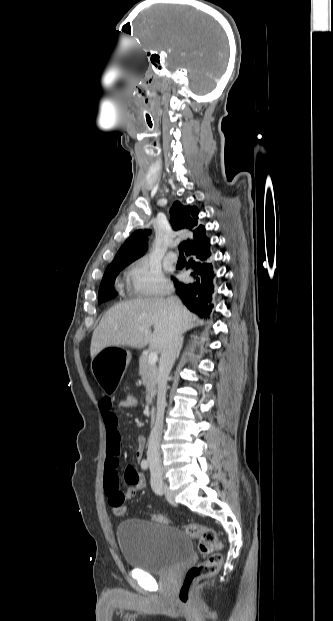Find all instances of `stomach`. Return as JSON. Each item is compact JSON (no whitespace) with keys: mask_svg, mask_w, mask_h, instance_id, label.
<instances>
[{"mask_svg":"<svg viewBox=\"0 0 333 621\" xmlns=\"http://www.w3.org/2000/svg\"><path fill=\"white\" fill-rule=\"evenodd\" d=\"M131 353L116 342H104L94 354L92 364L99 382V390L105 396H114L120 390V377L124 374ZM91 364V365H92Z\"/></svg>","mask_w":333,"mask_h":621,"instance_id":"1","label":"stomach"}]
</instances>
